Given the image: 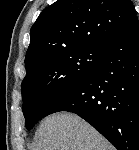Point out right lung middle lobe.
<instances>
[{
  "mask_svg": "<svg viewBox=\"0 0 139 150\" xmlns=\"http://www.w3.org/2000/svg\"><path fill=\"white\" fill-rule=\"evenodd\" d=\"M105 47L61 53L26 75L21 87L25 126L30 130L61 96L92 70Z\"/></svg>",
  "mask_w": 139,
  "mask_h": 150,
  "instance_id": "right-lung-middle-lobe-1",
  "label": "right lung middle lobe"
}]
</instances>
